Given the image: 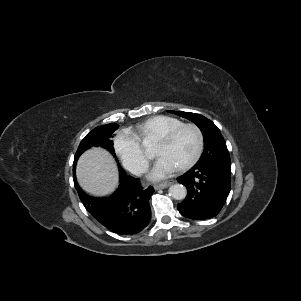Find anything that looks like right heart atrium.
I'll use <instances>...</instances> for the list:
<instances>
[{"mask_svg": "<svg viewBox=\"0 0 301 301\" xmlns=\"http://www.w3.org/2000/svg\"><path fill=\"white\" fill-rule=\"evenodd\" d=\"M114 148L125 168L135 174L143 173L149 164L141 141L129 130L118 132Z\"/></svg>", "mask_w": 301, "mask_h": 301, "instance_id": "obj_1", "label": "right heart atrium"}]
</instances>
